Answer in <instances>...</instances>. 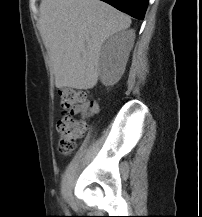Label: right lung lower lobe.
<instances>
[{
  "instance_id": "1",
  "label": "right lung lower lobe",
  "mask_w": 202,
  "mask_h": 217,
  "mask_svg": "<svg viewBox=\"0 0 202 217\" xmlns=\"http://www.w3.org/2000/svg\"><path fill=\"white\" fill-rule=\"evenodd\" d=\"M118 10L143 20L149 0H102Z\"/></svg>"
}]
</instances>
